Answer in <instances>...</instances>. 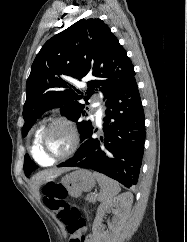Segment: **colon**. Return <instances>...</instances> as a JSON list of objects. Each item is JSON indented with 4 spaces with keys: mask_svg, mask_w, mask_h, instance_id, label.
Here are the masks:
<instances>
[{
    "mask_svg": "<svg viewBox=\"0 0 187 242\" xmlns=\"http://www.w3.org/2000/svg\"><path fill=\"white\" fill-rule=\"evenodd\" d=\"M42 192L46 207L67 229L69 242H87V238L80 234L86 223L85 218L77 207H72L66 202V188L62 184L52 181L44 185Z\"/></svg>",
    "mask_w": 187,
    "mask_h": 242,
    "instance_id": "1",
    "label": "colon"
}]
</instances>
